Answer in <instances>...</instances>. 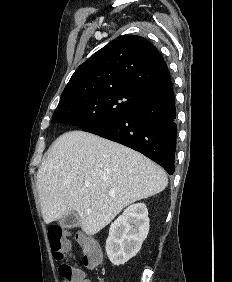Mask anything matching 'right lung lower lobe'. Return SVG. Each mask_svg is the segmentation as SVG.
<instances>
[{
    "label": "right lung lower lobe",
    "instance_id": "right-lung-lower-lobe-1",
    "mask_svg": "<svg viewBox=\"0 0 232 282\" xmlns=\"http://www.w3.org/2000/svg\"><path fill=\"white\" fill-rule=\"evenodd\" d=\"M175 119L172 86L166 92L146 98L136 110L82 130L130 147L173 174L177 134Z\"/></svg>",
    "mask_w": 232,
    "mask_h": 282
}]
</instances>
